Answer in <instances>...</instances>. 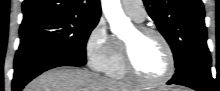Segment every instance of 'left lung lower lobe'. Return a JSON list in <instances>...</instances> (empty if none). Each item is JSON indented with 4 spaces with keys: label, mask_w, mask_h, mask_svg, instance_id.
Instances as JSON below:
<instances>
[{
    "label": "left lung lower lobe",
    "mask_w": 220,
    "mask_h": 91,
    "mask_svg": "<svg viewBox=\"0 0 220 91\" xmlns=\"http://www.w3.org/2000/svg\"><path fill=\"white\" fill-rule=\"evenodd\" d=\"M210 68L211 62L197 64L185 72L175 74L167 84L183 85L196 91H213L214 79Z\"/></svg>",
    "instance_id": "obj_1"
}]
</instances>
